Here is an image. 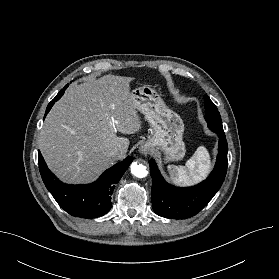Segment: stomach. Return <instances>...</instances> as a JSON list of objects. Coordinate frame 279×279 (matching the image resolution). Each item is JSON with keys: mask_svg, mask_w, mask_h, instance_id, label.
<instances>
[{"mask_svg": "<svg viewBox=\"0 0 279 279\" xmlns=\"http://www.w3.org/2000/svg\"><path fill=\"white\" fill-rule=\"evenodd\" d=\"M131 94L138 110L145 115L153 130L145 144L162 150L167 161L181 160L186 152L181 117L169 109L150 86H139Z\"/></svg>", "mask_w": 279, "mask_h": 279, "instance_id": "1", "label": "stomach"}]
</instances>
